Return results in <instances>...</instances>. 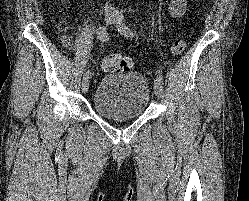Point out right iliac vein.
<instances>
[{
    "instance_id": "obj_1",
    "label": "right iliac vein",
    "mask_w": 249,
    "mask_h": 201,
    "mask_svg": "<svg viewBox=\"0 0 249 201\" xmlns=\"http://www.w3.org/2000/svg\"><path fill=\"white\" fill-rule=\"evenodd\" d=\"M114 19H115V12L110 8L105 9V21L107 25H111L114 22ZM88 89H89V78H84L82 81V92L86 93Z\"/></svg>"
}]
</instances>
